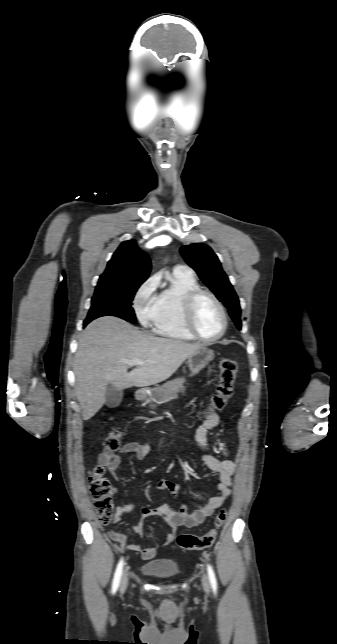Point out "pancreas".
<instances>
[{"mask_svg": "<svg viewBox=\"0 0 337 644\" xmlns=\"http://www.w3.org/2000/svg\"><path fill=\"white\" fill-rule=\"evenodd\" d=\"M185 382L184 378H177L175 380L169 381L162 386H157L152 389L151 402L156 404H164L178 397V393H184L185 387L183 383ZM152 408H155L156 405L150 404Z\"/></svg>", "mask_w": 337, "mask_h": 644, "instance_id": "1", "label": "pancreas"}]
</instances>
